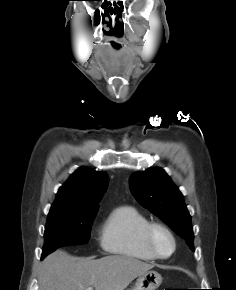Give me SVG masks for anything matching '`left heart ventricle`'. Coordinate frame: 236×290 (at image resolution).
I'll return each instance as SVG.
<instances>
[{"label": "left heart ventricle", "mask_w": 236, "mask_h": 290, "mask_svg": "<svg viewBox=\"0 0 236 290\" xmlns=\"http://www.w3.org/2000/svg\"><path fill=\"white\" fill-rule=\"evenodd\" d=\"M155 242L160 253L164 255L170 253L172 249V243L167 235L162 232H158L155 237Z\"/></svg>", "instance_id": "1"}]
</instances>
